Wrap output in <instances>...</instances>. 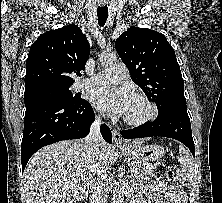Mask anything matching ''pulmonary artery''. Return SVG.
Here are the masks:
<instances>
[{
	"mask_svg": "<svg viewBox=\"0 0 222 203\" xmlns=\"http://www.w3.org/2000/svg\"><path fill=\"white\" fill-rule=\"evenodd\" d=\"M126 66L123 63H116L109 68L102 70L89 78L83 79L80 87H89L106 83H119L126 79Z\"/></svg>",
	"mask_w": 222,
	"mask_h": 203,
	"instance_id": "e3ab8cb5",
	"label": "pulmonary artery"
}]
</instances>
